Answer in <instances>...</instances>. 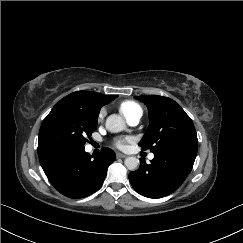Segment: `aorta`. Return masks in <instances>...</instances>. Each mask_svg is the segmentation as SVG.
<instances>
[{
  "label": "aorta",
  "instance_id": "aorta-1",
  "mask_svg": "<svg viewBox=\"0 0 243 243\" xmlns=\"http://www.w3.org/2000/svg\"><path fill=\"white\" fill-rule=\"evenodd\" d=\"M106 129L112 133H118L125 130L126 125L124 119L117 115L112 114L106 119ZM127 169L134 171L139 166V159L136 157H127L124 161Z\"/></svg>",
  "mask_w": 243,
  "mask_h": 243
}]
</instances>
